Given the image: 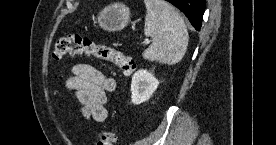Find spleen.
Here are the masks:
<instances>
[{
  "mask_svg": "<svg viewBox=\"0 0 276 145\" xmlns=\"http://www.w3.org/2000/svg\"><path fill=\"white\" fill-rule=\"evenodd\" d=\"M146 16L144 34L152 38V44L143 52L150 61L173 65L184 57L189 36L184 20L164 0H145Z\"/></svg>",
  "mask_w": 276,
  "mask_h": 145,
  "instance_id": "1",
  "label": "spleen"
}]
</instances>
